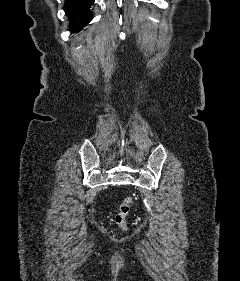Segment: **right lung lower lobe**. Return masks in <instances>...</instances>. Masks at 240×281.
Segmentation results:
<instances>
[{"instance_id":"1","label":"right lung lower lobe","mask_w":240,"mask_h":281,"mask_svg":"<svg viewBox=\"0 0 240 281\" xmlns=\"http://www.w3.org/2000/svg\"><path fill=\"white\" fill-rule=\"evenodd\" d=\"M95 0H66L64 10L70 19V26L73 32L80 31L93 16L90 6Z\"/></svg>"}]
</instances>
